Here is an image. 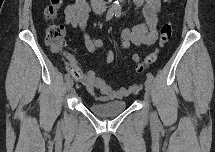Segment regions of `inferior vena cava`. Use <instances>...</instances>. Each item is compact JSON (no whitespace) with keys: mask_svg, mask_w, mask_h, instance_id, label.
<instances>
[{"mask_svg":"<svg viewBox=\"0 0 215 152\" xmlns=\"http://www.w3.org/2000/svg\"><path fill=\"white\" fill-rule=\"evenodd\" d=\"M93 2H96V3L100 4L103 8L105 7L104 0H93Z\"/></svg>","mask_w":215,"mask_h":152,"instance_id":"602c4592","label":"inferior vena cava"}]
</instances>
